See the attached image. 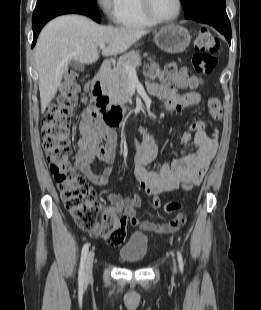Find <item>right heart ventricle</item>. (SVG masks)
Masks as SVG:
<instances>
[{
	"instance_id": "obj_1",
	"label": "right heart ventricle",
	"mask_w": 261,
	"mask_h": 310,
	"mask_svg": "<svg viewBox=\"0 0 261 310\" xmlns=\"http://www.w3.org/2000/svg\"><path fill=\"white\" fill-rule=\"evenodd\" d=\"M115 23L129 29H146L155 25L143 13L140 0H117Z\"/></svg>"
}]
</instances>
